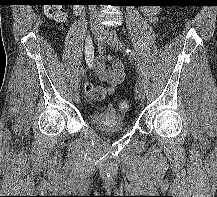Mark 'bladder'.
Segmentation results:
<instances>
[{
  "mask_svg": "<svg viewBox=\"0 0 217 197\" xmlns=\"http://www.w3.org/2000/svg\"><path fill=\"white\" fill-rule=\"evenodd\" d=\"M91 122L97 130L106 134H115L127 130L124 117L117 113L96 114L91 118Z\"/></svg>",
  "mask_w": 217,
  "mask_h": 197,
  "instance_id": "bladder-1",
  "label": "bladder"
}]
</instances>
